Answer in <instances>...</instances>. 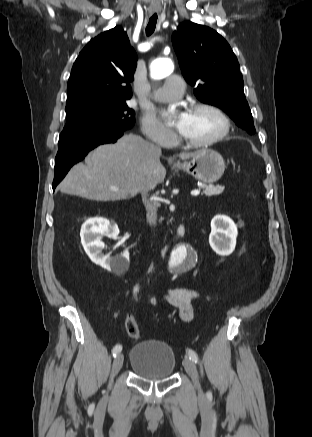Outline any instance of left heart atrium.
Masks as SVG:
<instances>
[{"label": "left heart atrium", "mask_w": 312, "mask_h": 437, "mask_svg": "<svg viewBox=\"0 0 312 437\" xmlns=\"http://www.w3.org/2000/svg\"><path fill=\"white\" fill-rule=\"evenodd\" d=\"M164 117L166 118L170 117V113L165 112ZM187 118H188V113H184V112L179 113L175 116V127L180 133H182L185 129Z\"/></svg>", "instance_id": "39dd6f15"}]
</instances>
